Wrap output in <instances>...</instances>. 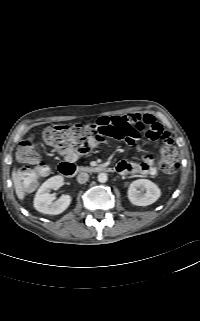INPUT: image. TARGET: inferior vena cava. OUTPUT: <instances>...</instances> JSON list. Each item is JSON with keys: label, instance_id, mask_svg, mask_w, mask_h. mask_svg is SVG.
<instances>
[{"label": "inferior vena cava", "instance_id": "602c4592", "mask_svg": "<svg viewBox=\"0 0 200 321\" xmlns=\"http://www.w3.org/2000/svg\"><path fill=\"white\" fill-rule=\"evenodd\" d=\"M88 179H89V175L87 173H85V172H81L77 176V181L80 184L86 183L88 181Z\"/></svg>", "mask_w": 200, "mask_h": 321}]
</instances>
